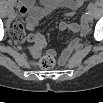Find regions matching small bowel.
I'll return each instance as SVG.
<instances>
[{
  "mask_svg": "<svg viewBox=\"0 0 103 103\" xmlns=\"http://www.w3.org/2000/svg\"><path fill=\"white\" fill-rule=\"evenodd\" d=\"M8 5L10 10L13 9L12 6H15L21 15L27 14L25 28L19 22L14 23L13 35L15 41L17 42L27 40L32 43L30 53L34 60L39 59L43 54V49L46 46V39L43 34L37 32L26 35L25 29L28 31H33L43 17L57 9H66L67 15L72 16L78 9L84 6L83 2L80 0H47L43 2L42 6L35 4L33 1L12 0ZM59 28L72 33H81L82 35L87 34L89 31L87 11L80 16L79 23L61 22L59 24ZM79 46L80 42L78 39L72 40L62 50L60 55H58L59 64H65L71 55L79 48ZM49 54H54V51L50 50Z\"/></svg>",
  "mask_w": 103,
  "mask_h": 103,
  "instance_id": "small-bowel-1",
  "label": "small bowel"
}]
</instances>
